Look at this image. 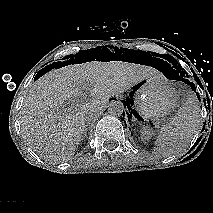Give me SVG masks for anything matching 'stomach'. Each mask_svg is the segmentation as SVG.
Returning a JSON list of instances; mask_svg holds the SVG:
<instances>
[{
	"label": "stomach",
	"mask_w": 213,
	"mask_h": 213,
	"mask_svg": "<svg viewBox=\"0 0 213 213\" xmlns=\"http://www.w3.org/2000/svg\"><path fill=\"white\" fill-rule=\"evenodd\" d=\"M132 87L136 111L143 119L157 122L179 105L178 92L162 76L145 78Z\"/></svg>",
	"instance_id": "obj_1"
}]
</instances>
